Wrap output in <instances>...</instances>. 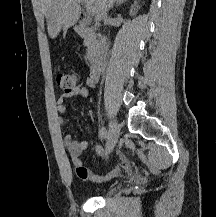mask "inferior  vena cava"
<instances>
[{
    "mask_svg": "<svg viewBox=\"0 0 216 217\" xmlns=\"http://www.w3.org/2000/svg\"><path fill=\"white\" fill-rule=\"evenodd\" d=\"M112 5H113L112 3L108 4V8L110 9L112 7ZM109 22H110V19H108L107 17H105L104 18V24L107 25V24H109Z\"/></svg>",
    "mask_w": 216,
    "mask_h": 217,
    "instance_id": "602c4592",
    "label": "inferior vena cava"
}]
</instances>
